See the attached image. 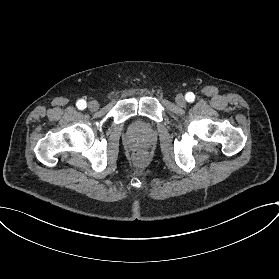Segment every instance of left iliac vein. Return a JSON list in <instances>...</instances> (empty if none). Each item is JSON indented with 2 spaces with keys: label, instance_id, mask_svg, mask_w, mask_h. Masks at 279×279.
<instances>
[{
  "label": "left iliac vein",
  "instance_id": "obj_1",
  "mask_svg": "<svg viewBox=\"0 0 279 279\" xmlns=\"http://www.w3.org/2000/svg\"><path fill=\"white\" fill-rule=\"evenodd\" d=\"M175 102L178 106L184 107L186 105V100L182 94H178L175 98Z\"/></svg>",
  "mask_w": 279,
  "mask_h": 279
}]
</instances>
